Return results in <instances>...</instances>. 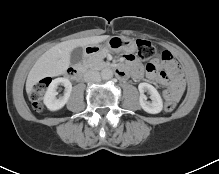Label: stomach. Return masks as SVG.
<instances>
[{
  "instance_id": "obj_1",
  "label": "stomach",
  "mask_w": 219,
  "mask_h": 174,
  "mask_svg": "<svg viewBox=\"0 0 219 174\" xmlns=\"http://www.w3.org/2000/svg\"><path fill=\"white\" fill-rule=\"evenodd\" d=\"M94 51H107V52H126L133 53L136 51L137 46L134 40L127 39L121 36H112L103 44L90 45Z\"/></svg>"
}]
</instances>
